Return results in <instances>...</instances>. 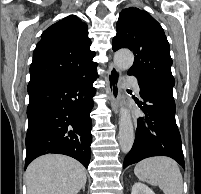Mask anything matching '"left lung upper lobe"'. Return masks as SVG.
I'll use <instances>...</instances> for the list:
<instances>
[{
  "label": "left lung upper lobe",
  "instance_id": "obj_1",
  "mask_svg": "<svg viewBox=\"0 0 201 194\" xmlns=\"http://www.w3.org/2000/svg\"><path fill=\"white\" fill-rule=\"evenodd\" d=\"M116 29L113 50L128 48L135 55L128 74L141 84H160L172 89L175 84L172 59L161 25L146 11L129 7L120 12Z\"/></svg>",
  "mask_w": 201,
  "mask_h": 194
}]
</instances>
